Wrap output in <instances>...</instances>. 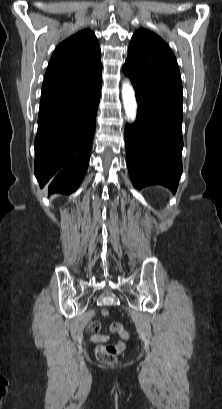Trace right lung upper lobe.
Returning a JSON list of instances; mask_svg holds the SVG:
<instances>
[{
    "mask_svg": "<svg viewBox=\"0 0 222 409\" xmlns=\"http://www.w3.org/2000/svg\"><path fill=\"white\" fill-rule=\"evenodd\" d=\"M102 72L100 45L95 34L84 29L55 49L42 86L41 101L83 91L89 78Z\"/></svg>",
    "mask_w": 222,
    "mask_h": 409,
    "instance_id": "obj_1",
    "label": "right lung upper lobe"
}]
</instances>
